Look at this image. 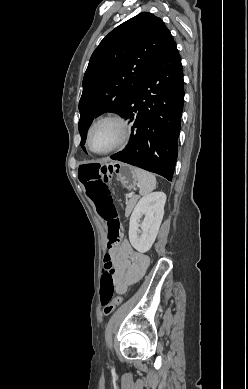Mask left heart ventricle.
<instances>
[{
    "mask_svg": "<svg viewBox=\"0 0 248 389\" xmlns=\"http://www.w3.org/2000/svg\"><path fill=\"white\" fill-rule=\"evenodd\" d=\"M118 137V128L111 122L98 125L92 137V147L95 150H104L112 145Z\"/></svg>",
    "mask_w": 248,
    "mask_h": 389,
    "instance_id": "obj_1",
    "label": "left heart ventricle"
}]
</instances>
